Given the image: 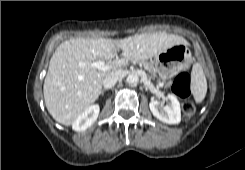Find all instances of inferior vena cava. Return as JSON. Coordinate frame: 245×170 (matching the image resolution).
Returning a JSON list of instances; mask_svg holds the SVG:
<instances>
[{"instance_id":"1","label":"inferior vena cava","mask_w":245,"mask_h":170,"mask_svg":"<svg viewBox=\"0 0 245 170\" xmlns=\"http://www.w3.org/2000/svg\"><path fill=\"white\" fill-rule=\"evenodd\" d=\"M124 77L123 71L112 72L108 74L103 80V86L105 89H110L115 86V84Z\"/></svg>"}]
</instances>
